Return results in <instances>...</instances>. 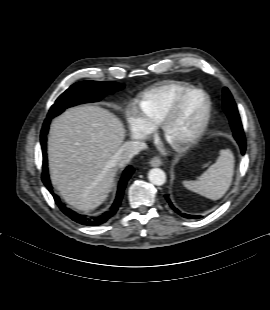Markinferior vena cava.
<instances>
[{
    "label": "inferior vena cava",
    "mask_w": 270,
    "mask_h": 310,
    "mask_svg": "<svg viewBox=\"0 0 270 310\" xmlns=\"http://www.w3.org/2000/svg\"><path fill=\"white\" fill-rule=\"evenodd\" d=\"M145 148L146 143L142 141H127L120 146L111 161L118 167H124L136 154Z\"/></svg>",
    "instance_id": "1"
}]
</instances>
